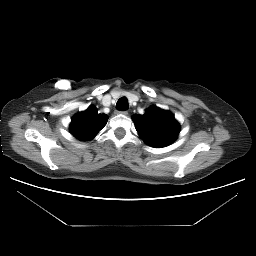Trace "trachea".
Instances as JSON below:
<instances>
[{"mask_svg": "<svg viewBox=\"0 0 256 256\" xmlns=\"http://www.w3.org/2000/svg\"><path fill=\"white\" fill-rule=\"evenodd\" d=\"M128 100L126 97H121L118 99L117 103H116V109L119 111H126L128 110Z\"/></svg>", "mask_w": 256, "mask_h": 256, "instance_id": "3493384b", "label": "trachea"}]
</instances>
